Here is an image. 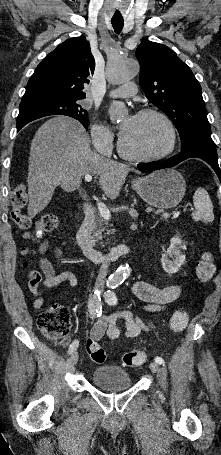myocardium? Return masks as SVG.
Returning <instances> with one entry per match:
<instances>
[{
    "label": "myocardium",
    "instance_id": "1",
    "mask_svg": "<svg viewBox=\"0 0 221 455\" xmlns=\"http://www.w3.org/2000/svg\"><path fill=\"white\" fill-rule=\"evenodd\" d=\"M148 115H153L158 117L166 126L168 135H169V144L168 146L160 152L153 153V154H135L125 149L123 145L122 138L119 137L117 142V149L121 156L126 159L138 162H151L157 161L166 156L170 155L176 147L177 144V134L176 128L172 122V120L162 111L155 109V108H144L138 111L134 117H144Z\"/></svg>",
    "mask_w": 221,
    "mask_h": 455
}]
</instances>
